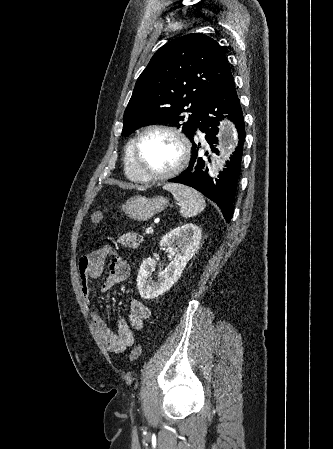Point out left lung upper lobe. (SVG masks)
<instances>
[{"mask_svg": "<svg viewBox=\"0 0 333 449\" xmlns=\"http://www.w3.org/2000/svg\"><path fill=\"white\" fill-rule=\"evenodd\" d=\"M231 76L228 60L214 39L201 33L173 39L139 76L124 113L122 135L163 121L182 128L192 140L208 101Z\"/></svg>", "mask_w": 333, "mask_h": 449, "instance_id": "1", "label": "left lung upper lobe"}]
</instances>
